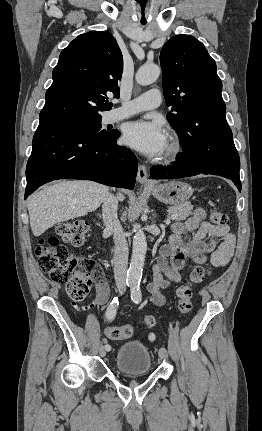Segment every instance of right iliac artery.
<instances>
[{
    "label": "right iliac artery",
    "mask_w": 262,
    "mask_h": 431,
    "mask_svg": "<svg viewBox=\"0 0 262 431\" xmlns=\"http://www.w3.org/2000/svg\"><path fill=\"white\" fill-rule=\"evenodd\" d=\"M127 285L129 286L131 285V283H127ZM118 305H119L118 297L113 298L112 302L110 303L106 311L107 320L112 321L115 318ZM105 349L109 351L111 349L110 345L106 344Z\"/></svg>",
    "instance_id": "82829eb1"
}]
</instances>
